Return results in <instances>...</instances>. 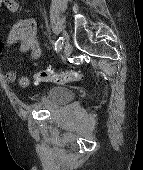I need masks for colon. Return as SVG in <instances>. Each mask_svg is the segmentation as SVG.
<instances>
[{
	"label": "colon",
	"mask_w": 143,
	"mask_h": 170,
	"mask_svg": "<svg viewBox=\"0 0 143 170\" xmlns=\"http://www.w3.org/2000/svg\"><path fill=\"white\" fill-rule=\"evenodd\" d=\"M8 0H0V5L7 3ZM83 79V73L78 70L66 69L63 71L43 70L35 75L37 82H54L58 84L77 82ZM28 81L23 79L22 86H27Z\"/></svg>",
	"instance_id": "5ec220e1"
}]
</instances>
